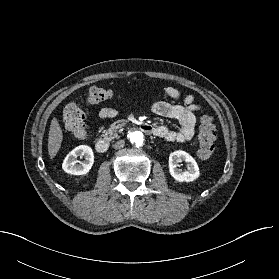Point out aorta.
<instances>
[{
	"mask_svg": "<svg viewBox=\"0 0 279 279\" xmlns=\"http://www.w3.org/2000/svg\"><path fill=\"white\" fill-rule=\"evenodd\" d=\"M131 143L140 146L143 143V134L138 130H131L128 135Z\"/></svg>",
	"mask_w": 279,
	"mask_h": 279,
	"instance_id": "1",
	"label": "aorta"
}]
</instances>
